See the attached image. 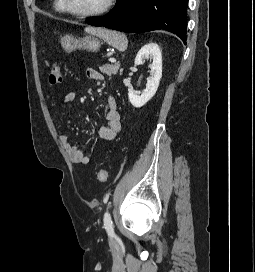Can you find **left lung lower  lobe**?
<instances>
[{
	"label": "left lung lower lobe",
	"mask_w": 255,
	"mask_h": 272,
	"mask_svg": "<svg viewBox=\"0 0 255 272\" xmlns=\"http://www.w3.org/2000/svg\"><path fill=\"white\" fill-rule=\"evenodd\" d=\"M187 3L188 0H117L109 14L86 22L126 33L164 29L186 43Z\"/></svg>",
	"instance_id": "left-lung-lower-lobe-1"
}]
</instances>
